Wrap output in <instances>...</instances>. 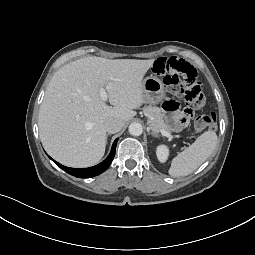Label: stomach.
<instances>
[{
    "mask_svg": "<svg viewBox=\"0 0 255 255\" xmlns=\"http://www.w3.org/2000/svg\"><path fill=\"white\" fill-rule=\"evenodd\" d=\"M143 97L146 103L155 105L163 102L166 97L163 82L153 76L143 80Z\"/></svg>",
    "mask_w": 255,
    "mask_h": 255,
    "instance_id": "1",
    "label": "stomach"
}]
</instances>
